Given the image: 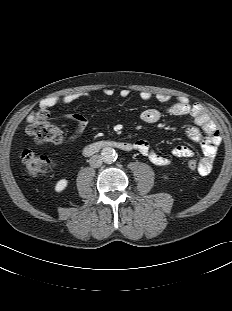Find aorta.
Returning <instances> with one entry per match:
<instances>
[{"label": "aorta", "mask_w": 232, "mask_h": 311, "mask_svg": "<svg viewBox=\"0 0 232 311\" xmlns=\"http://www.w3.org/2000/svg\"><path fill=\"white\" fill-rule=\"evenodd\" d=\"M101 157L105 163L111 164L117 159V153L112 147H105L101 151Z\"/></svg>", "instance_id": "762f6f07"}]
</instances>
